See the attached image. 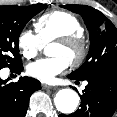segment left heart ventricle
Segmentation results:
<instances>
[{"mask_svg": "<svg viewBox=\"0 0 117 117\" xmlns=\"http://www.w3.org/2000/svg\"><path fill=\"white\" fill-rule=\"evenodd\" d=\"M49 54L51 56H63L68 61H70L73 56V53L70 50L66 49L65 47L58 43H54L50 46Z\"/></svg>", "mask_w": 117, "mask_h": 117, "instance_id": "obj_1", "label": "left heart ventricle"}]
</instances>
